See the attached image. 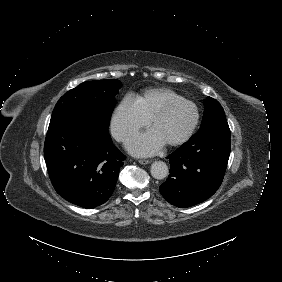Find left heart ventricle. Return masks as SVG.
<instances>
[{"instance_id": "b2bd125f", "label": "left heart ventricle", "mask_w": 282, "mask_h": 282, "mask_svg": "<svg viewBox=\"0 0 282 282\" xmlns=\"http://www.w3.org/2000/svg\"><path fill=\"white\" fill-rule=\"evenodd\" d=\"M170 101L165 100L160 105L158 111L166 108ZM192 117L193 113L189 107H178L157 120L153 127L159 132L165 142L173 141L187 130Z\"/></svg>"}]
</instances>
